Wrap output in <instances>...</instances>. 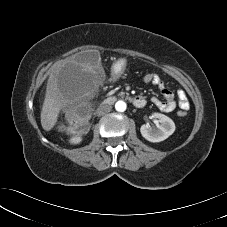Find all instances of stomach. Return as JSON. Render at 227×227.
<instances>
[{"label": "stomach", "instance_id": "0dacf381", "mask_svg": "<svg viewBox=\"0 0 227 227\" xmlns=\"http://www.w3.org/2000/svg\"><path fill=\"white\" fill-rule=\"evenodd\" d=\"M125 68H126L125 59H120L113 66V69H112L113 74L119 76L124 72Z\"/></svg>", "mask_w": 227, "mask_h": 227}]
</instances>
